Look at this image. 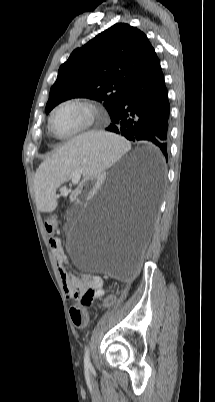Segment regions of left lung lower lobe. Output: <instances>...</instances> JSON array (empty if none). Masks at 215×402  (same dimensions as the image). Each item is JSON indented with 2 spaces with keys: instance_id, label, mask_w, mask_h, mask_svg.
Returning <instances> with one entry per match:
<instances>
[{
  "instance_id": "1",
  "label": "left lung lower lobe",
  "mask_w": 215,
  "mask_h": 402,
  "mask_svg": "<svg viewBox=\"0 0 215 402\" xmlns=\"http://www.w3.org/2000/svg\"><path fill=\"white\" fill-rule=\"evenodd\" d=\"M169 109L164 75L158 60L130 86L106 130L130 141L149 142L157 146L167 159ZM147 187L154 195L157 190L154 177L148 179Z\"/></svg>"
}]
</instances>
